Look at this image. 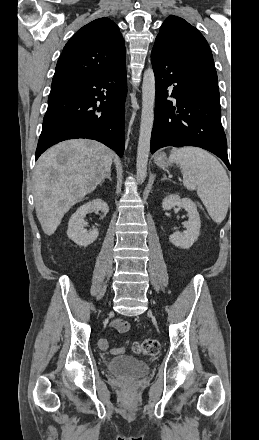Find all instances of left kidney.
Returning a JSON list of instances; mask_svg holds the SVG:
<instances>
[{"mask_svg":"<svg viewBox=\"0 0 259 440\" xmlns=\"http://www.w3.org/2000/svg\"><path fill=\"white\" fill-rule=\"evenodd\" d=\"M175 206L182 207L188 212V221L185 223L186 231L180 233L179 231L170 235V242L180 248L188 249L199 236L201 221L197 211L196 204L189 198H180L178 194H170L163 199L162 208L164 210H171Z\"/></svg>","mask_w":259,"mask_h":440,"instance_id":"left-kidney-1","label":"left kidney"}]
</instances>
